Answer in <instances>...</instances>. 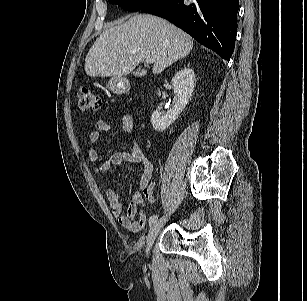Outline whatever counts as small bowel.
I'll list each match as a JSON object with an SVG mask.
<instances>
[{
	"label": "small bowel",
	"instance_id": "c3829d8e",
	"mask_svg": "<svg viewBox=\"0 0 307 301\" xmlns=\"http://www.w3.org/2000/svg\"><path fill=\"white\" fill-rule=\"evenodd\" d=\"M120 125L123 131L132 132L135 128L133 116L124 113L120 117ZM109 130L110 124L108 122L104 120L96 122L95 129L89 133L88 161L94 173H107L112 167L123 163L141 164L143 166L139 181L141 192H135L132 195L126 214L123 213V204L118 190L115 188L106 190V197L112 214L118 219L120 225L132 233H139L147 226L148 222L147 214L143 210L144 200L146 199L150 203H155L157 200L153 193V164L137 144H134L129 150L115 152L108 159L99 162L94 145L99 143L100 135Z\"/></svg>",
	"mask_w": 307,
	"mask_h": 301
}]
</instances>
